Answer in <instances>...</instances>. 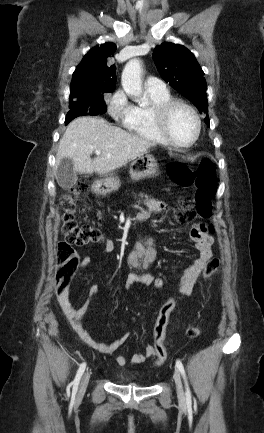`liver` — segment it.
Listing matches in <instances>:
<instances>
[{
  "label": "liver",
  "instance_id": "6515ba94",
  "mask_svg": "<svg viewBox=\"0 0 264 433\" xmlns=\"http://www.w3.org/2000/svg\"><path fill=\"white\" fill-rule=\"evenodd\" d=\"M154 146V142L112 126L102 118L79 117L67 126L60 139L56 167L63 158H69L76 172L107 175ZM96 149L101 154L92 160L90 155Z\"/></svg>",
  "mask_w": 264,
  "mask_h": 433
}]
</instances>
